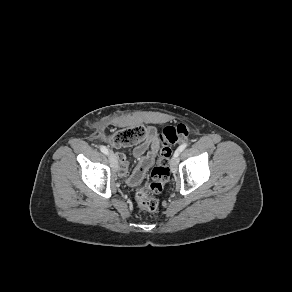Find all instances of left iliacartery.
<instances>
[{
	"label": "left iliac artery",
	"mask_w": 292,
	"mask_h": 292,
	"mask_svg": "<svg viewBox=\"0 0 292 292\" xmlns=\"http://www.w3.org/2000/svg\"><path fill=\"white\" fill-rule=\"evenodd\" d=\"M188 146V143H183L182 145H180L175 153H174V157H178L180 155V153Z\"/></svg>",
	"instance_id": "44dca946"
}]
</instances>
